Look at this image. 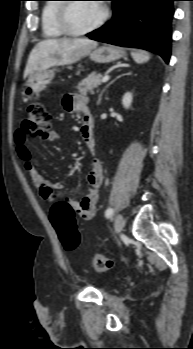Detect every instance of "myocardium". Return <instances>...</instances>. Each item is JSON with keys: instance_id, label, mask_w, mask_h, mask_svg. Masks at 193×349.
<instances>
[{"instance_id": "1", "label": "myocardium", "mask_w": 193, "mask_h": 349, "mask_svg": "<svg viewBox=\"0 0 193 349\" xmlns=\"http://www.w3.org/2000/svg\"><path fill=\"white\" fill-rule=\"evenodd\" d=\"M64 1H73V0H64ZM73 5V2H63L62 4H59L56 14V23L58 28L65 34L69 36H82L89 34L97 29H99L109 18V10L105 7H103V12L101 17L90 27L82 29V30H75L71 27L69 23V9Z\"/></svg>"}]
</instances>
